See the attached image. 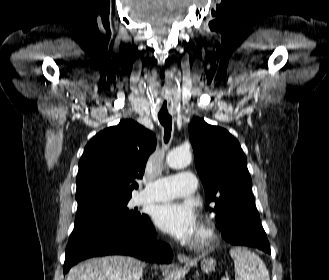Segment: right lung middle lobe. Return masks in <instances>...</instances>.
Instances as JSON below:
<instances>
[{
	"label": "right lung middle lobe",
	"mask_w": 329,
	"mask_h": 280,
	"mask_svg": "<svg viewBox=\"0 0 329 280\" xmlns=\"http://www.w3.org/2000/svg\"><path fill=\"white\" fill-rule=\"evenodd\" d=\"M130 198L91 195L76 199L78 208L74 228L97 219L113 220L134 228L141 226L148 216L129 209Z\"/></svg>",
	"instance_id": "obj_1"
}]
</instances>
